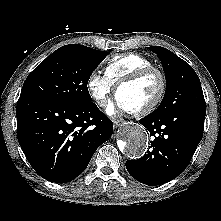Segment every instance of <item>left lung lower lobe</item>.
I'll list each match as a JSON object with an SVG mask.
<instances>
[{"label": "left lung lower lobe", "instance_id": "1", "mask_svg": "<svg viewBox=\"0 0 221 221\" xmlns=\"http://www.w3.org/2000/svg\"><path fill=\"white\" fill-rule=\"evenodd\" d=\"M206 110L185 108L152 112L139 122L153 136L147 154L126 161L131 176L146 185H161L188 166L203 136Z\"/></svg>", "mask_w": 221, "mask_h": 221}]
</instances>
